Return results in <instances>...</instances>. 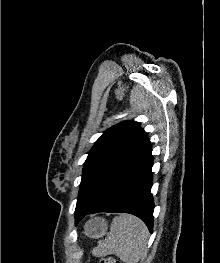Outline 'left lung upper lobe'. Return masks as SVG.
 Wrapping results in <instances>:
<instances>
[{
	"label": "left lung upper lobe",
	"instance_id": "5c2ea615",
	"mask_svg": "<svg viewBox=\"0 0 220 263\" xmlns=\"http://www.w3.org/2000/svg\"><path fill=\"white\" fill-rule=\"evenodd\" d=\"M150 148L138 122L124 121L106 130L84 163L75 211L90 208Z\"/></svg>",
	"mask_w": 220,
	"mask_h": 263
}]
</instances>
